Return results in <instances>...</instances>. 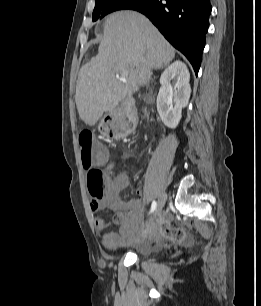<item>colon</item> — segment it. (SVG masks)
I'll use <instances>...</instances> for the list:
<instances>
[{"instance_id": "colon-1", "label": "colon", "mask_w": 261, "mask_h": 306, "mask_svg": "<svg viewBox=\"0 0 261 306\" xmlns=\"http://www.w3.org/2000/svg\"><path fill=\"white\" fill-rule=\"evenodd\" d=\"M127 113L118 116L116 121L124 128L129 121L138 116V110L135 108L126 109ZM115 125V124H114ZM116 129V127L114 126ZM118 132L121 130L116 129ZM94 133L91 131H83L79 135V147L81 162L84 169L88 172V188L90 194L97 199L105 189V176L101 169L94 166L96 160H104L107 157V151L104 148L96 149L93 144ZM162 234L168 238L180 241L184 237V231L173 227L170 222L163 218L159 221Z\"/></svg>"}]
</instances>
